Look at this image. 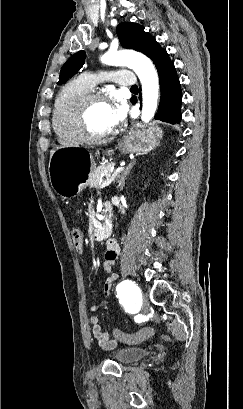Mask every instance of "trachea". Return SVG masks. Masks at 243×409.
<instances>
[{
	"label": "trachea",
	"instance_id": "obj_1",
	"mask_svg": "<svg viewBox=\"0 0 243 409\" xmlns=\"http://www.w3.org/2000/svg\"><path fill=\"white\" fill-rule=\"evenodd\" d=\"M138 87L136 85L132 86L131 89H137Z\"/></svg>",
	"mask_w": 243,
	"mask_h": 409
}]
</instances>
